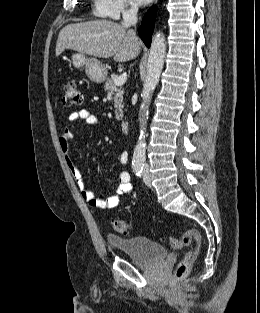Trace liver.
<instances>
[{
  "mask_svg": "<svg viewBox=\"0 0 260 313\" xmlns=\"http://www.w3.org/2000/svg\"><path fill=\"white\" fill-rule=\"evenodd\" d=\"M140 48L135 31L110 20H95L65 26L59 33L55 54L59 56L65 49H71L126 62L136 58Z\"/></svg>",
  "mask_w": 260,
  "mask_h": 313,
  "instance_id": "1",
  "label": "liver"
}]
</instances>
